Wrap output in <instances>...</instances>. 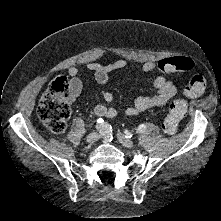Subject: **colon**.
Masks as SVG:
<instances>
[{
	"mask_svg": "<svg viewBox=\"0 0 221 221\" xmlns=\"http://www.w3.org/2000/svg\"><path fill=\"white\" fill-rule=\"evenodd\" d=\"M158 69L163 73L188 72L193 69L192 59L184 56L166 58L158 62ZM206 88V81L201 75L193 76L184 89L187 98L200 96ZM76 92L71 82L63 76L56 78L43 93L38 105V116L44 126L53 134H61L67 127L71 116V102ZM187 111V103L180 99L174 101L163 123V132L174 135L179 123Z\"/></svg>",
	"mask_w": 221,
	"mask_h": 221,
	"instance_id": "colon-1",
	"label": "colon"
}]
</instances>
